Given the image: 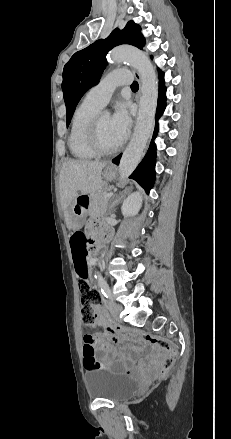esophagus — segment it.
<instances>
[{
    "label": "esophagus",
    "mask_w": 231,
    "mask_h": 439,
    "mask_svg": "<svg viewBox=\"0 0 231 439\" xmlns=\"http://www.w3.org/2000/svg\"><path fill=\"white\" fill-rule=\"evenodd\" d=\"M135 78L137 79L138 83H139V90L137 92L136 95V101L139 103L140 98H141V93H142V82H141V76L140 74L136 71V70H132Z\"/></svg>",
    "instance_id": "obj_1"
}]
</instances>
